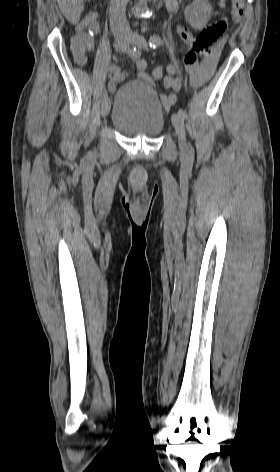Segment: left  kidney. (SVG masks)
<instances>
[{
    "label": "left kidney",
    "instance_id": "obj_1",
    "mask_svg": "<svg viewBox=\"0 0 280 472\" xmlns=\"http://www.w3.org/2000/svg\"><path fill=\"white\" fill-rule=\"evenodd\" d=\"M212 7L208 0H195L192 4L188 5L184 11V15L189 24L196 28L201 29L206 26Z\"/></svg>",
    "mask_w": 280,
    "mask_h": 472
}]
</instances>
